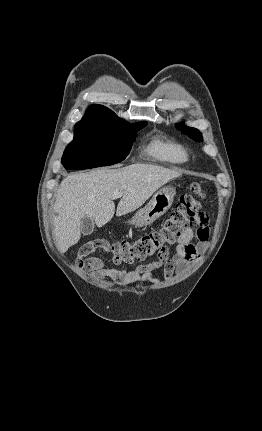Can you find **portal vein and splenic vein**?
Returning a JSON list of instances; mask_svg holds the SVG:
<instances>
[{
    "label": "portal vein and splenic vein",
    "mask_w": 262,
    "mask_h": 431,
    "mask_svg": "<svg viewBox=\"0 0 262 431\" xmlns=\"http://www.w3.org/2000/svg\"><path fill=\"white\" fill-rule=\"evenodd\" d=\"M122 195H123V192H120V191L114 192L113 198H119V197H122Z\"/></svg>",
    "instance_id": "1"
}]
</instances>
